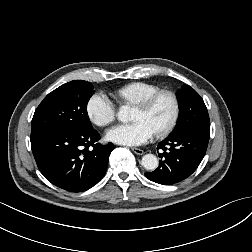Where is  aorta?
Segmentation results:
<instances>
[{"label": "aorta", "instance_id": "aorta-1", "mask_svg": "<svg viewBox=\"0 0 252 252\" xmlns=\"http://www.w3.org/2000/svg\"><path fill=\"white\" fill-rule=\"evenodd\" d=\"M132 108L128 105H122L117 113L118 119L123 122L127 123L132 119ZM142 166L147 170H155L158 167V159L153 154H146L142 157L141 160Z\"/></svg>", "mask_w": 252, "mask_h": 252}]
</instances>
